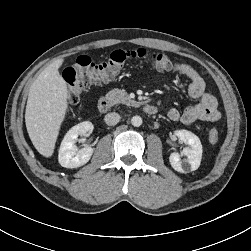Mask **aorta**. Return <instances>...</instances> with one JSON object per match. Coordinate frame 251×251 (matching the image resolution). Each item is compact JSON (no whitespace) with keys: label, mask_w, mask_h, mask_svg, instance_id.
Masks as SVG:
<instances>
[{"label":"aorta","mask_w":251,"mask_h":251,"mask_svg":"<svg viewBox=\"0 0 251 251\" xmlns=\"http://www.w3.org/2000/svg\"><path fill=\"white\" fill-rule=\"evenodd\" d=\"M131 124L135 127H139L142 125V118L138 115H135L131 118Z\"/></svg>","instance_id":"obj_1"}]
</instances>
